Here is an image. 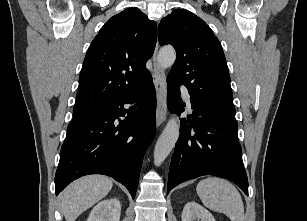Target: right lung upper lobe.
<instances>
[{"instance_id": "right-lung-upper-lobe-1", "label": "right lung upper lobe", "mask_w": 307, "mask_h": 221, "mask_svg": "<svg viewBox=\"0 0 307 221\" xmlns=\"http://www.w3.org/2000/svg\"><path fill=\"white\" fill-rule=\"evenodd\" d=\"M157 26L137 8L110 18L92 41L79 76L76 106L104 105L140 89L151 76Z\"/></svg>"}]
</instances>
